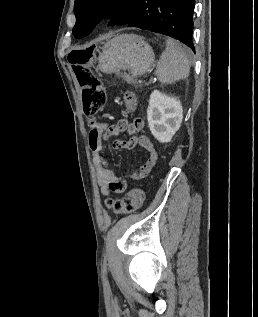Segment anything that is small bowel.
Masks as SVG:
<instances>
[{
    "mask_svg": "<svg viewBox=\"0 0 258 317\" xmlns=\"http://www.w3.org/2000/svg\"><path fill=\"white\" fill-rule=\"evenodd\" d=\"M144 122L141 118L133 121L121 119L117 124H103L92 129L89 133V146L92 151V161L96 170V181L104 194L121 193L128 185V181H137L144 178L159 160V152L154 141L142 133ZM126 133V139L117 138L112 147L116 150H130L140 146L146 151L145 160L131 172L117 176L109 167L107 160L102 155L104 143L111 136Z\"/></svg>",
    "mask_w": 258,
    "mask_h": 317,
    "instance_id": "small-bowel-1",
    "label": "small bowel"
}]
</instances>
